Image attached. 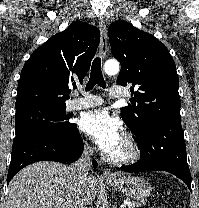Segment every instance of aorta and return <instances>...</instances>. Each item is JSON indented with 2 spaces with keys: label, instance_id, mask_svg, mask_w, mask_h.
Here are the masks:
<instances>
[{
  "label": "aorta",
  "instance_id": "obj_1",
  "mask_svg": "<svg viewBox=\"0 0 199 208\" xmlns=\"http://www.w3.org/2000/svg\"><path fill=\"white\" fill-rule=\"evenodd\" d=\"M120 70V65L117 60H108L105 62L104 71L107 75H116Z\"/></svg>",
  "mask_w": 199,
  "mask_h": 208
}]
</instances>
